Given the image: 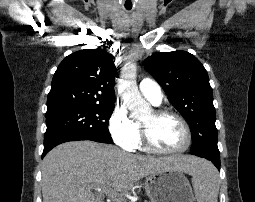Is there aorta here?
<instances>
[{"label":"aorta","instance_id":"1","mask_svg":"<svg viewBox=\"0 0 255 202\" xmlns=\"http://www.w3.org/2000/svg\"><path fill=\"white\" fill-rule=\"evenodd\" d=\"M136 65L126 64L121 72L120 88L130 115L133 118H142L150 113V105L141 96L136 85Z\"/></svg>","mask_w":255,"mask_h":202}]
</instances>
